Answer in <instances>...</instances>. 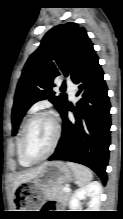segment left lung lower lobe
<instances>
[{
	"label": "left lung lower lobe",
	"instance_id": "1",
	"mask_svg": "<svg viewBox=\"0 0 123 219\" xmlns=\"http://www.w3.org/2000/svg\"><path fill=\"white\" fill-rule=\"evenodd\" d=\"M98 57L91 58L73 82L78 86L77 107L67 102L61 111L62 137L55 153L48 160H65L86 165L105 184L110 145V102ZM74 113L70 121L67 111Z\"/></svg>",
	"mask_w": 123,
	"mask_h": 219
}]
</instances>
